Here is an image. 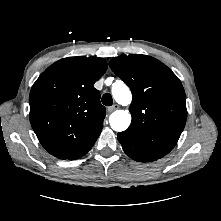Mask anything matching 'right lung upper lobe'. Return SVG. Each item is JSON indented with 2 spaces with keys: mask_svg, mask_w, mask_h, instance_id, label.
I'll list each match as a JSON object with an SVG mask.
<instances>
[{
  "mask_svg": "<svg viewBox=\"0 0 221 221\" xmlns=\"http://www.w3.org/2000/svg\"><path fill=\"white\" fill-rule=\"evenodd\" d=\"M106 70L103 58L68 57L48 67L34 83L30 122L53 156L71 159L98 138L106 109L93 85Z\"/></svg>",
  "mask_w": 221,
  "mask_h": 221,
  "instance_id": "right-lung-upper-lobe-1",
  "label": "right lung upper lobe"
}]
</instances>
